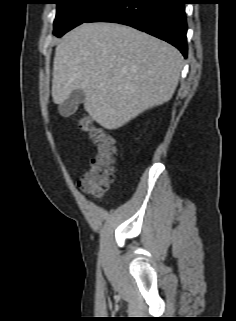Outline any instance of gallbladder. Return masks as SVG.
Listing matches in <instances>:
<instances>
[{
    "label": "gallbladder",
    "instance_id": "1",
    "mask_svg": "<svg viewBox=\"0 0 236 321\" xmlns=\"http://www.w3.org/2000/svg\"><path fill=\"white\" fill-rule=\"evenodd\" d=\"M85 101V93L82 89L74 90L69 97L59 105V113L63 117H69L74 114L78 105Z\"/></svg>",
    "mask_w": 236,
    "mask_h": 321
}]
</instances>
